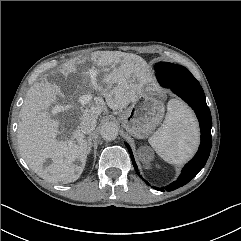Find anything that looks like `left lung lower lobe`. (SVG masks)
Here are the masks:
<instances>
[{
	"label": "left lung lower lobe",
	"mask_w": 241,
	"mask_h": 241,
	"mask_svg": "<svg viewBox=\"0 0 241 241\" xmlns=\"http://www.w3.org/2000/svg\"><path fill=\"white\" fill-rule=\"evenodd\" d=\"M156 77L161 86L171 88L175 94L181 97L186 103L189 104V106L193 108L199 120L201 129V144L199 146L198 152L194 158L185 165L180 177L175 182L168 185L166 188L153 187L156 190L164 192L165 190L172 191L184 186L191 179H193L206 164L212 145V119L210 110L206 104L204 91L198 81L172 86L165 82L160 76L156 75ZM125 145L129 150L134 168L138 173V167L135 163L132 150L127 143H125ZM146 184L148 185V182H146Z\"/></svg>",
	"instance_id": "obj_1"
}]
</instances>
